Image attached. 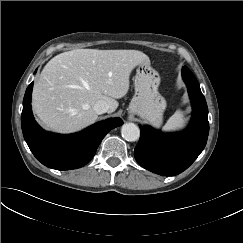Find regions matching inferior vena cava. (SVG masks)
Wrapping results in <instances>:
<instances>
[{"label":"inferior vena cava","mask_w":243,"mask_h":243,"mask_svg":"<svg viewBox=\"0 0 243 243\" xmlns=\"http://www.w3.org/2000/svg\"><path fill=\"white\" fill-rule=\"evenodd\" d=\"M108 109H109L108 104L105 101H102V100L96 102L95 105H94V111L97 114L106 113V112H108Z\"/></svg>","instance_id":"inferior-vena-cava-1"}]
</instances>
